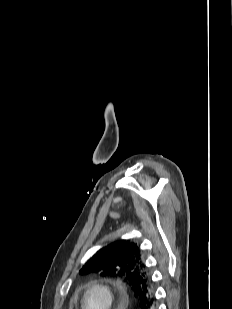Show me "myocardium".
I'll return each mask as SVG.
<instances>
[{
    "label": "myocardium",
    "instance_id": "obj_1",
    "mask_svg": "<svg viewBox=\"0 0 232 309\" xmlns=\"http://www.w3.org/2000/svg\"><path fill=\"white\" fill-rule=\"evenodd\" d=\"M94 290L102 292L106 297L107 303L104 309H113L116 301V294L111 286L102 282H94L85 289L80 302L81 309H86V297Z\"/></svg>",
    "mask_w": 232,
    "mask_h": 309
}]
</instances>
